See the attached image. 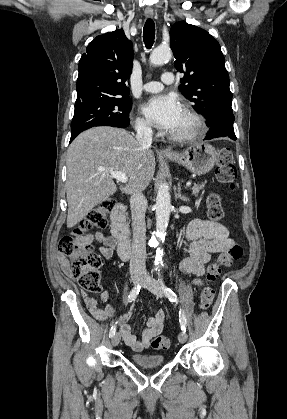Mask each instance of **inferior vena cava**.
Returning <instances> with one entry per match:
<instances>
[{"mask_svg":"<svg viewBox=\"0 0 287 419\" xmlns=\"http://www.w3.org/2000/svg\"><path fill=\"white\" fill-rule=\"evenodd\" d=\"M136 140L143 148H149L152 143V130L147 125L137 128ZM130 207L132 215L133 242L130 259L131 276H146V200L139 189L131 192Z\"/></svg>","mask_w":287,"mask_h":419,"instance_id":"602c4592","label":"inferior vena cava"}]
</instances>
